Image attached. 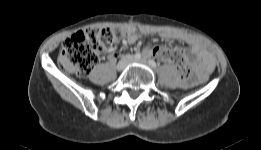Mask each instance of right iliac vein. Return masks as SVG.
Here are the masks:
<instances>
[{"instance_id": "obj_1", "label": "right iliac vein", "mask_w": 261, "mask_h": 150, "mask_svg": "<svg viewBox=\"0 0 261 150\" xmlns=\"http://www.w3.org/2000/svg\"><path fill=\"white\" fill-rule=\"evenodd\" d=\"M132 61V57L131 56H125L117 65V70L118 71H122L127 65L128 63Z\"/></svg>"}]
</instances>
